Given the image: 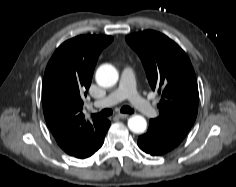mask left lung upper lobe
<instances>
[{
	"mask_svg": "<svg viewBox=\"0 0 236 187\" xmlns=\"http://www.w3.org/2000/svg\"><path fill=\"white\" fill-rule=\"evenodd\" d=\"M137 52L153 90L161 94L156 124L185 137L198 111V85L185 52L167 36L146 30L126 36Z\"/></svg>",
	"mask_w": 236,
	"mask_h": 187,
	"instance_id": "left-lung-upper-lobe-1",
	"label": "left lung upper lobe"
}]
</instances>
